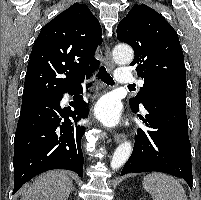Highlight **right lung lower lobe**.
<instances>
[{
  "instance_id": "right-lung-lower-lobe-1",
  "label": "right lung lower lobe",
  "mask_w": 201,
  "mask_h": 200,
  "mask_svg": "<svg viewBox=\"0 0 201 200\" xmlns=\"http://www.w3.org/2000/svg\"><path fill=\"white\" fill-rule=\"evenodd\" d=\"M80 90L78 85L66 91L76 97L74 110L59 105L66 92L22 102L14 139L13 194L34 176L51 169H67L83 177L81 138L85 128L72 125L88 114L87 104L78 96Z\"/></svg>"
}]
</instances>
